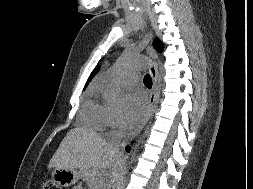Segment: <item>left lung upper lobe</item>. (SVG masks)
Listing matches in <instances>:
<instances>
[{
  "label": "left lung upper lobe",
  "instance_id": "1",
  "mask_svg": "<svg viewBox=\"0 0 253 189\" xmlns=\"http://www.w3.org/2000/svg\"><path fill=\"white\" fill-rule=\"evenodd\" d=\"M154 47L160 52L163 49V45L159 40L154 41Z\"/></svg>",
  "mask_w": 253,
  "mask_h": 189
}]
</instances>
